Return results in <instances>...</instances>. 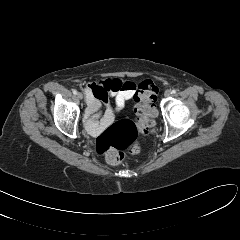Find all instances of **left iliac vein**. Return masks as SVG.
Segmentation results:
<instances>
[{
  "instance_id": "obj_1",
  "label": "left iliac vein",
  "mask_w": 240,
  "mask_h": 240,
  "mask_svg": "<svg viewBox=\"0 0 240 240\" xmlns=\"http://www.w3.org/2000/svg\"><path fill=\"white\" fill-rule=\"evenodd\" d=\"M170 95H171V91H170V90H165L164 96H165V97H168V96H170Z\"/></svg>"
}]
</instances>
